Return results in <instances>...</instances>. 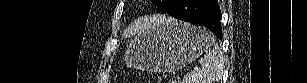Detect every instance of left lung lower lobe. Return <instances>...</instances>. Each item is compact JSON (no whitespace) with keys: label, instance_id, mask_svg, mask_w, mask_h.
<instances>
[{"label":"left lung lower lobe","instance_id":"1","mask_svg":"<svg viewBox=\"0 0 307 83\" xmlns=\"http://www.w3.org/2000/svg\"><path fill=\"white\" fill-rule=\"evenodd\" d=\"M166 13L194 25H203L222 38L221 10L217 0H174Z\"/></svg>","mask_w":307,"mask_h":83}]
</instances>
